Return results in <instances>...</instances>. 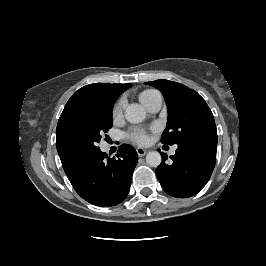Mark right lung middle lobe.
Instances as JSON below:
<instances>
[{
    "label": "right lung middle lobe",
    "instance_id": "1",
    "mask_svg": "<svg viewBox=\"0 0 266 266\" xmlns=\"http://www.w3.org/2000/svg\"><path fill=\"white\" fill-rule=\"evenodd\" d=\"M115 100L98 102L73 118L64 128L60 145L69 156L88 158L100 149L101 135L112 127Z\"/></svg>",
    "mask_w": 266,
    "mask_h": 266
}]
</instances>
